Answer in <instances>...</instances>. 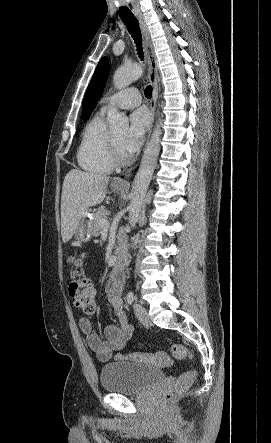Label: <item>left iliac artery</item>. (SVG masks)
Segmentation results:
<instances>
[{"mask_svg":"<svg viewBox=\"0 0 271 443\" xmlns=\"http://www.w3.org/2000/svg\"><path fill=\"white\" fill-rule=\"evenodd\" d=\"M134 299H135L134 293L132 291H129L126 296L127 303L131 305Z\"/></svg>","mask_w":271,"mask_h":443,"instance_id":"obj_1","label":"left iliac artery"}]
</instances>
